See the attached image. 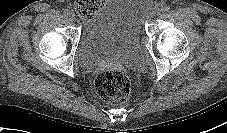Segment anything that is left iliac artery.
I'll return each mask as SVG.
<instances>
[{
    "instance_id": "1",
    "label": "left iliac artery",
    "mask_w": 227,
    "mask_h": 133,
    "mask_svg": "<svg viewBox=\"0 0 227 133\" xmlns=\"http://www.w3.org/2000/svg\"><path fill=\"white\" fill-rule=\"evenodd\" d=\"M169 7L168 6H164V7H162L161 8V11L163 12V13H167L168 11H169Z\"/></svg>"
}]
</instances>
